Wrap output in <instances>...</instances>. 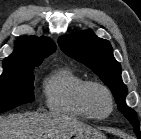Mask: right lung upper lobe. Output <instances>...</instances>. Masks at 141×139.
<instances>
[{
    "label": "right lung upper lobe",
    "mask_w": 141,
    "mask_h": 139,
    "mask_svg": "<svg viewBox=\"0 0 141 139\" xmlns=\"http://www.w3.org/2000/svg\"><path fill=\"white\" fill-rule=\"evenodd\" d=\"M56 50L55 43L46 37L28 36L15 43L12 54L3 60V69L39 65Z\"/></svg>",
    "instance_id": "right-lung-upper-lobe-1"
}]
</instances>
